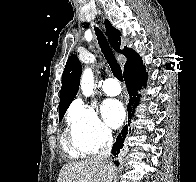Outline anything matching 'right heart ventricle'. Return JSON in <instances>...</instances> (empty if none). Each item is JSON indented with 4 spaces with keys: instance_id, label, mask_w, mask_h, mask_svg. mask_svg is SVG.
Wrapping results in <instances>:
<instances>
[{
    "instance_id": "right-heart-ventricle-1",
    "label": "right heart ventricle",
    "mask_w": 196,
    "mask_h": 182,
    "mask_svg": "<svg viewBox=\"0 0 196 182\" xmlns=\"http://www.w3.org/2000/svg\"><path fill=\"white\" fill-rule=\"evenodd\" d=\"M69 154L72 157H80L82 155H84L75 145L73 142H71V144H69V148H68Z\"/></svg>"
}]
</instances>
